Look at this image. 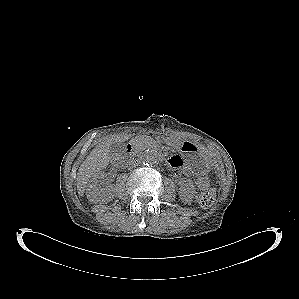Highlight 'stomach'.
<instances>
[{
  "label": "stomach",
  "mask_w": 299,
  "mask_h": 299,
  "mask_svg": "<svg viewBox=\"0 0 299 299\" xmlns=\"http://www.w3.org/2000/svg\"><path fill=\"white\" fill-rule=\"evenodd\" d=\"M166 142L169 145L178 147L179 149L182 148V151H184V154L188 159V164L194 170L202 172L208 167L209 155L200 146L189 141L177 142L171 138H168Z\"/></svg>",
  "instance_id": "1"
}]
</instances>
